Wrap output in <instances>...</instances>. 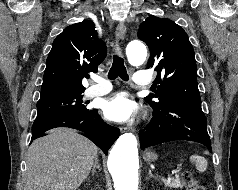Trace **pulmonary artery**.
Wrapping results in <instances>:
<instances>
[{
	"instance_id": "1",
	"label": "pulmonary artery",
	"mask_w": 238,
	"mask_h": 190,
	"mask_svg": "<svg viewBox=\"0 0 238 190\" xmlns=\"http://www.w3.org/2000/svg\"><path fill=\"white\" fill-rule=\"evenodd\" d=\"M96 85L86 89V97L102 96L109 93L112 89L111 84L101 77H95ZM134 82L138 86L146 87L152 83V76L148 71H138L134 76Z\"/></svg>"
}]
</instances>
